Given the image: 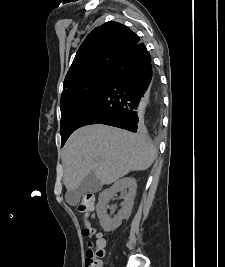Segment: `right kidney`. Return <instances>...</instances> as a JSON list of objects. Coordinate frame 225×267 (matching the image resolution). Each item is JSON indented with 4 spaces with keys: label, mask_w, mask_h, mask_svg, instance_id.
Segmentation results:
<instances>
[{
    "label": "right kidney",
    "mask_w": 225,
    "mask_h": 267,
    "mask_svg": "<svg viewBox=\"0 0 225 267\" xmlns=\"http://www.w3.org/2000/svg\"><path fill=\"white\" fill-rule=\"evenodd\" d=\"M136 190V180L131 177H125L115 182L110 188L101 192L98 198L96 211L100 220V225L102 226L104 231L110 232L115 230L121 225L123 219H128L130 217ZM118 192L123 193L124 201L122 203V208L118 212V214L111 218L107 214L108 202Z\"/></svg>",
    "instance_id": "ca27d5eb"
}]
</instances>
